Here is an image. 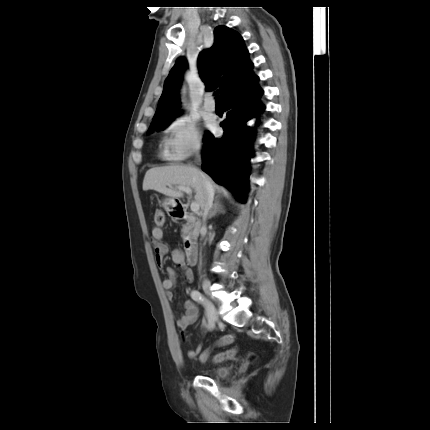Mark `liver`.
Masks as SVG:
<instances>
[{
    "mask_svg": "<svg viewBox=\"0 0 430 430\" xmlns=\"http://www.w3.org/2000/svg\"><path fill=\"white\" fill-rule=\"evenodd\" d=\"M203 175L206 176L199 169L187 165H168L151 168L144 176L143 190H155L172 199H177L183 196L182 191L174 190L167 186L192 187L195 191V201L201 206L204 195ZM210 181L213 187L216 188L217 185L211 179Z\"/></svg>",
    "mask_w": 430,
    "mask_h": 430,
    "instance_id": "liver-1",
    "label": "liver"
}]
</instances>
